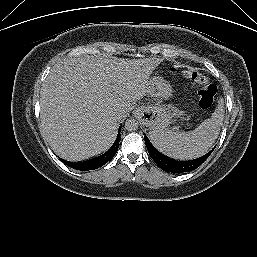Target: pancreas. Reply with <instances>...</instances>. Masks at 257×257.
<instances>
[{
  "label": "pancreas",
  "instance_id": "1",
  "mask_svg": "<svg viewBox=\"0 0 257 257\" xmlns=\"http://www.w3.org/2000/svg\"><path fill=\"white\" fill-rule=\"evenodd\" d=\"M173 112H174L173 114H174L175 116H181V115H183V113H184L183 111H179L178 109H175V108L173 109Z\"/></svg>",
  "mask_w": 257,
  "mask_h": 257
}]
</instances>
